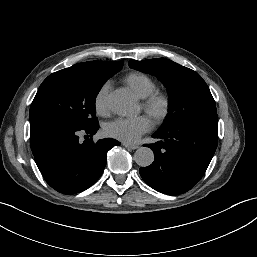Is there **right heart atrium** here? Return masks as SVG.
Masks as SVG:
<instances>
[{"instance_id": "right-heart-atrium-1", "label": "right heart atrium", "mask_w": 257, "mask_h": 257, "mask_svg": "<svg viewBox=\"0 0 257 257\" xmlns=\"http://www.w3.org/2000/svg\"><path fill=\"white\" fill-rule=\"evenodd\" d=\"M110 87V81L105 82L95 95L94 107L99 115H104L108 112V95Z\"/></svg>"}]
</instances>
